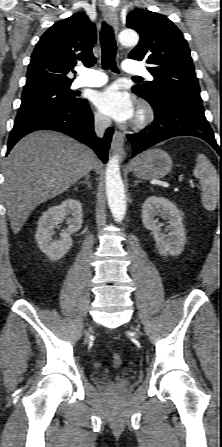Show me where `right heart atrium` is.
Wrapping results in <instances>:
<instances>
[{"mask_svg":"<svg viewBox=\"0 0 222 447\" xmlns=\"http://www.w3.org/2000/svg\"><path fill=\"white\" fill-rule=\"evenodd\" d=\"M92 121L97 127L104 128L108 125L107 118L99 112H94L92 115Z\"/></svg>","mask_w":222,"mask_h":447,"instance_id":"right-heart-atrium-1","label":"right heart atrium"}]
</instances>
